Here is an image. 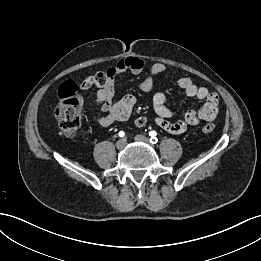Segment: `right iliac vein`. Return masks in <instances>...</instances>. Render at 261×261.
Here are the masks:
<instances>
[{
    "label": "right iliac vein",
    "instance_id": "63e3f726",
    "mask_svg": "<svg viewBox=\"0 0 261 261\" xmlns=\"http://www.w3.org/2000/svg\"><path fill=\"white\" fill-rule=\"evenodd\" d=\"M126 145V141L124 139H121L119 141L116 142V148L118 150H122Z\"/></svg>",
    "mask_w": 261,
    "mask_h": 261
}]
</instances>
